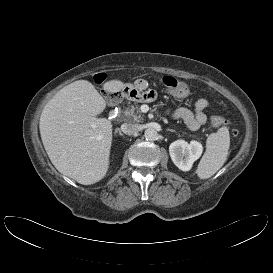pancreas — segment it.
Listing matches in <instances>:
<instances>
[{
  "instance_id": "obj_1",
  "label": "pancreas",
  "mask_w": 273,
  "mask_h": 273,
  "mask_svg": "<svg viewBox=\"0 0 273 273\" xmlns=\"http://www.w3.org/2000/svg\"><path fill=\"white\" fill-rule=\"evenodd\" d=\"M124 115L127 118V120L132 122H140L143 120V116L140 111L139 105H129L124 110Z\"/></svg>"
}]
</instances>
